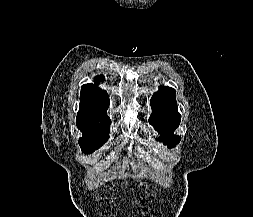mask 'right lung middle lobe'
I'll return each instance as SVG.
<instances>
[{
  "label": "right lung middle lobe",
  "instance_id": "1",
  "mask_svg": "<svg viewBox=\"0 0 253 217\" xmlns=\"http://www.w3.org/2000/svg\"><path fill=\"white\" fill-rule=\"evenodd\" d=\"M83 137L79 138V145L85 154H90L107 142L109 138L110 122L95 123L76 121Z\"/></svg>",
  "mask_w": 253,
  "mask_h": 217
}]
</instances>
